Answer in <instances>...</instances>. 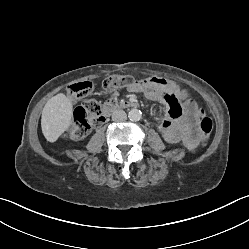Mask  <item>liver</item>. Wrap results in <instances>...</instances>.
I'll return each instance as SVG.
<instances>
[{
    "mask_svg": "<svg viewBox=\"0 0 249 249\" xmlns=\"http://www.w3.org/2000/svg\"><path fill=\"white\" fill-rule=\"evenodd\" d=\"M73 105L63 93L50 98L42 110L41 128L49 142H55L71 125Z\"/></svg>",
    "mask_w": 249,
    "mask_h": 249,
    "instance_id": "liver-1",
    "label": "liver"
}]
</instances>
